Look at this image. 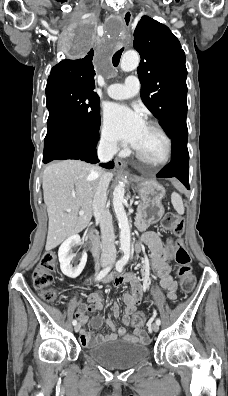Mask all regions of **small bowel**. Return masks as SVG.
<instances>
[{
	"mask_svg": "<svg viewBox=\"0 0 228 396\" xmlns=\"http://www.w3.org/2000/svg\"><path fill=\"white\" fill-rule=\"evenodd\" d=\"M141 244L147 245L150 249V263L157 273L160 287L166 291V297L169 300H175L177 297L178 285L171 275L172 269L168 263V252L162 245L160 238L153 232H147L142 236L141 242L137 245V250L140 249ZM105 282L111 283L117 287L126 283H129L131 286V293L123 294V301L125 303V314L122 318L123 325L116 329L111 320H104L99 315L94 316L91 319L92 327L98 329L103 324H107L111 328V333L108 335L94 336L84 329H81L79 339L82 346L91 347L113 339L146 342L148 340V335L143 328L134 327V334L131 335L127 333V327L132 323V316L137 305L145 299L142 286L137 277L133 274L116 276L114 278L109 276L105 279ZM88 302V304H83L76 313L81 325H85L88 322V313L100 311L104 306L103 296L99 292L90 293L88 295ZM112 313L115 318L120 316V308L117 303L113 304Z\"/></svg>",
	"mask_w": 228,
	"mask_h": 396,
	"instance_id": "c3829d8e",
	"label": "small bowel"
}]
</instances>
